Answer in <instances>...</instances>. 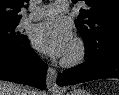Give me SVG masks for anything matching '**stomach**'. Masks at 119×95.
Listing matches in <instances>:
<instances>
[{"instance_id": "1", "label": "stomach", "mask_w": 119, "mask_h": 95, "mask_svg": "<svg viewBox=\"0 0 119 95\" xmlns=\"http://www.w3.org/2000/svg\"><path fill=\"white\" fill-rule=\"evenodd\" d=\"M66 95H90V94L84 90L77 89L67 92Z\"/></svg>"}]
</instances>
